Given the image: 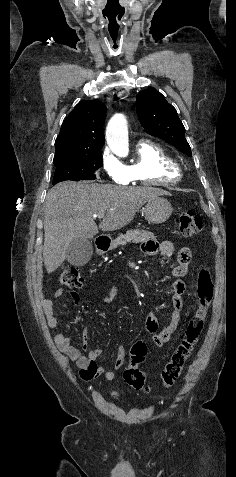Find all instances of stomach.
<instances>
[{
  "instance_id": "1",
  "label": "stomach",
  "mask_w": 236,
  "mask_h": 477,
  "mask_svg": "<svg viewBox=\"0 0 236 477\" xmlns=\"http://www.w3.org/2000/svg\"><path fill=\"white\" fill-rule=\"evenodd\" d=\"M143 212L145 219L149 223L160 224L165 222L171 216L173 208L168 200L163 197H157L147 202Z\"/></svg>"
}]
</instances>
